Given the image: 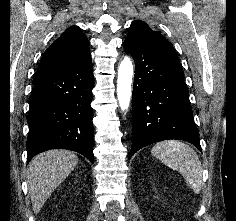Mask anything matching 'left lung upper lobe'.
<instances>
[{"label":"left lung upper lobe","mask_w":236,"mask_h":221,"mask_svg":"<svg viewBox=\"0 0 236 221\" xmlns=\"http://www.w3.org/2000/svg\"><path fill=\"white\" fill-rule=\"evenodd\" d=\"M128 35H136L144 40L162 48L171 53L176 54L172 44L161 35L160 32L152 30L145 22L135 20L132 22Z\"/></svg>","instance_id":"left-lung-upper-lobe-1"}]
</instances>
